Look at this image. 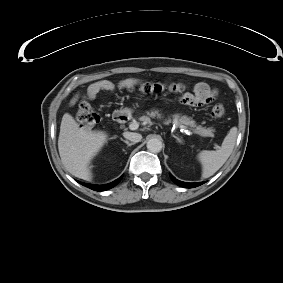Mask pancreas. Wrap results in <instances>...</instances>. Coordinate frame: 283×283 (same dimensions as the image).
I'll return each instance as SVG.
<instances>
[{
    "label": "pancreas",
    "instance_id": "pancreas-1",
    "mask_svg": "<svg viewBox=\"0 0 283 283\" xmlns=\"http://www.w3.org/2000/svg\"><path fill=\"white\" fill-rule=\"evenodd\" d=\"M148 114H149V116L152 117V118H155V117H157L158 119H161V118H162L161 114H160L157 110H154V111H152V112H150V113H148ZM173 120L175 121L176 125H181L182 123L191 122V119H190V118H188V117H186V116H181V115H179V114L174 115V116H173ZM169 121H170V120H168V122H169Z\"/></svg>",
    "mask_w": 283,
    "mask_h": 283
}]
</instances>
